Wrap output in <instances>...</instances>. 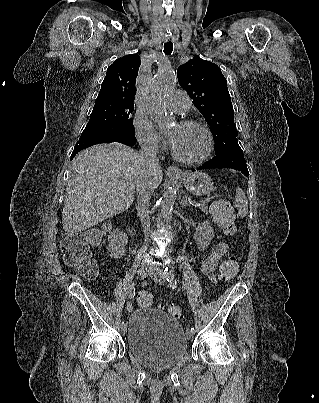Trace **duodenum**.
Segmentation results:
<instances>
[{"label": "duodenum", "instance_id": "1", "mask_svg": "<svg viewBox=\"0 0 319 403\" xmlns=\"http://www.w3.org/2000/svg\"><path fill=\"white\" fill-rule=\"evenodd\" d=\"M127 231H128L131 235H134V229H133V228L127 226Z\"/></svg>", "mask_w": 319, "mask_h": 403}]
</instances>
